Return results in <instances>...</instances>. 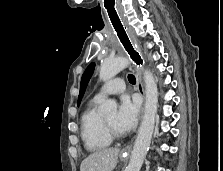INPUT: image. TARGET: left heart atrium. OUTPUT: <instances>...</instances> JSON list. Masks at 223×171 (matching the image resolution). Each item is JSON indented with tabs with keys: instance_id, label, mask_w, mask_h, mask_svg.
<instances>
[{
	"instance_id": "1",
	"label": "left heart atrium",
	"mask_w": 223,
	"mask_h": 171,
	"mask_svg": "<svg viewBox=\"0 0 223 171\" xmlns=\"http://www.w3.org/2000/svg\"><path fill=\"white\" fill-rule=\"evenodd\" d=\"M139 106L128 97H123L116 114L115 125L121 132L125 133L132 130L138 119Z\"/></svg>"
}]
</instances>
